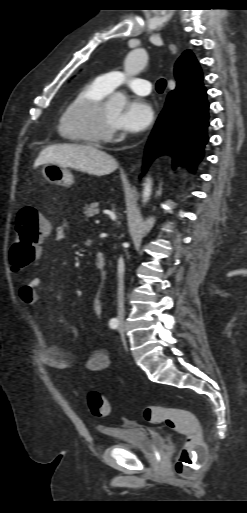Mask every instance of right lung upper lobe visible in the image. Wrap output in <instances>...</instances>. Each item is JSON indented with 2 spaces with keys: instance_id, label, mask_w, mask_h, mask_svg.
Wrapping results in <instances>:
<instances>
[{
  "instance_id": "right-lung-upper-lobe-1",
  "label": "right lung upper lobe",
  "mask_w": 247,
  "mask_h": 513,
  "mask_svg": "<svg viewBox=\"0 0 247 513\" xmlns=\"http://www.w3.org/2000/svg\"><path fill=\"white\" fill-rule=\"evenodd\" d=\"M177 87L175 90L190 91L202 84V72L190 50H186L177 60L174 68Z\"/></svg>"
}]
</instances>
